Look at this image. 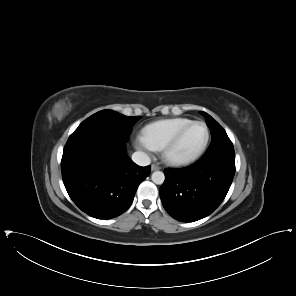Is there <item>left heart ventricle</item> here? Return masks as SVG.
<instances>
[{"instance_id":"b2bd125f","label":"left heart ventricle","mask_w":296,"mask_h":296,"mask_svg":"<svg viewBox=\"0 0 296 296\" xmlns=\"http://www.w3.org/2000/svg\"><path fill=\"white\" fill-rule=\"evenodd\" d=\"M205 138V129L201 125L189 127L171 149L173 157H186L194 154L201 147Z\"/></svg>"}]
</instances>
